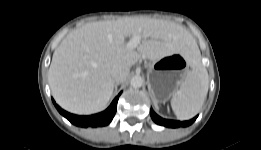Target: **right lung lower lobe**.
<instances>
[{
    "mask_svg": "<svg viewBox=\"0 0 261 150\" xmlns=\"http://www.w3.org/2000/svg\"><path fill=\"white\" fill-rule=\"evenodd\" d=\"M120 94L114 99L111 105L104 112L91 115V116H78L70 114L64 110H62L52 99L57 110L67 118L71 123L80 126V127H98L108 125L113 119L116 110H117V102Z\"/></svg>",
    "mask_w": 261,
    "mask_h": 150,
    "instance_id": "right-lung-lower-lobe-1",
    "label": "right lung lower lobe"
}]
</instances>
